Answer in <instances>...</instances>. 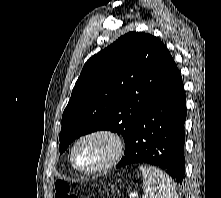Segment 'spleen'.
Instances as JSON below:
<instances>
[{"instance_id": "1", "label": "spleen", "mask_w": 221, "mask_h": 198, "mask_svg": "<svg viewBox=\"0 0 221 198\" xmlns=\"http://www.w3.org/2000/svg\"><path fill=\"white\" fill-rule=\"evenodd\" d=\"M145 198H178L175 182L159 168L141 165Z\"/></svg>"}]
</instances>
